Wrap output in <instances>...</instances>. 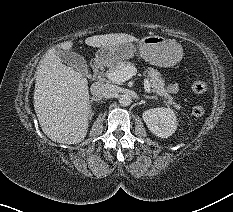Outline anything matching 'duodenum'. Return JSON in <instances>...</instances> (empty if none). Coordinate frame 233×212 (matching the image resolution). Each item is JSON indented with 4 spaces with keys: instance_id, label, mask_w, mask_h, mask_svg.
Segmentation results:
<instances>
[{
    "instance_id": "obj_1",
    "label": "duodenum",
    "mask_w": 233,
    "mask_h": 212,
    "mask_svg": "<svg viewBox=\"0 0 233 212\" xmlns=\"http://www.w3.org/2000/svg\"><path fill=\"white\" fill-rule=\"evenodd\" d=\"M90 64L94 73L97 74L103 65V60L101 58H94Z\"/></svg>"
}]
</instances>
